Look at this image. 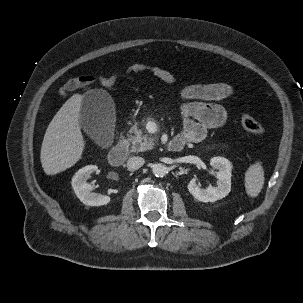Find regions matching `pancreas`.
Returning a JSON list of instances; mask_svg holds the SVG:
<instances>
[{
    "label": "pancreas",
    "mask_w": 303,
    "mask_h": 303,
    "mask_svg": "<svg viewBox=\"0 0 303 303\" xmlns=\"http://www.w3.org/2000/svg\"><path fill=\"white\" fill-rule=\"evenodd\" d=\"M143 126V124H141ZM157 138L145 134L142 128H138L136 123L129 134L127 135V142L131 144V152H142L148 149H153Z\"/></svg>",
    "instance_id": "pancreas-1"
}]
</instances>
